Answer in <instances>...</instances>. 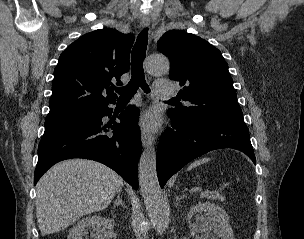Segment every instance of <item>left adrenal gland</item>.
Returning a JSON list of instances; mask_svg holds the SVG:
<instances>
[{
	"instance_id": "a2214340",
	"label": "left adrenal gland",
	"mask_w": 304,
	"mask_h": 239,
	"mask_svg": "<svg viewBox=\"0 0 304 239\" xmlns=\"http://www.w3.org/2000/svg\"><path fill=\"white\" fill-rule=\"evenodd\" d=\"M182 198H184V195L183 196H177L176 197V206H178V204H179V202H180V200L182 199Z\"/></svg>"
}]
</instances>
